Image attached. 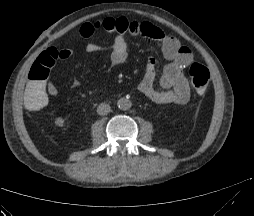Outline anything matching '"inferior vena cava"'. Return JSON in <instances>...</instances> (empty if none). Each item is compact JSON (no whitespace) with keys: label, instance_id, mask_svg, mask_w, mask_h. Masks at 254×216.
<instances>
[{"label":"inferior vena cava","instance_id":"inferior-vena-cava-1","mask_svg":"<svg viewBox=\"0 0 254 216\" xmlns=\"http://www.w3.org/2000/svg\"><path fill=\"white\" fill-rule=\"evenodd\" d=\"M110 110H111V107L107 103H101L97 107V113L99 115H107L110 112Z\"/></svg>","mask_w":254,"mask_h":216}]
</instances>
